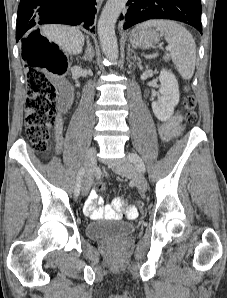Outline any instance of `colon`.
Listing matches in <instances>:
<instances>
[{"mask_svg": "<svg viewBox=\"0 0 227 298\" xmlns=\"http://www.w3.org/2000/svg\"><path fill=\"white\" fill-rule=\"evenodd\" d=\"M51 44L40 37L35 42V48L27 55L28 71V97L25 103L26 133L37 152H45L49 148L52 137V127L58 120L59 106L57 104L58 91L47 75V71H56V66L50 55ZM196 99L187 94L184 99L186 120L194 123L197 120ZM101 181L94 183L95 191L104 190ZM139 212L144 213V202H137ZM135 216L136 213H130Z\"/></svg>", "mask_w": 227, "mask_h": 298, "instance_id": "colon-1", "label": "colon"}]
</instances>
